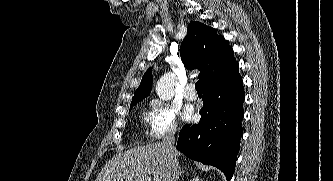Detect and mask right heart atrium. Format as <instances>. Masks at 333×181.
Here are the masks:
<instances>
[{
	"mask_svg": "<svg viewBox=\"0 0 333 181\" xmlns=\"http://www.w3.org/2000/svg\"><path fill=\"white\" fill-rule=\"evenodd\" d=\"M178 109L161 100H153L146 116L149 135L154 139L162 138L177 130Z\"/></svg>",
	"mask_w": 333,
	"mask_h": 181,
	"instance_id": "right-heart-atrium-1",
	"label": "right heart atrium"
}]
</instances>
